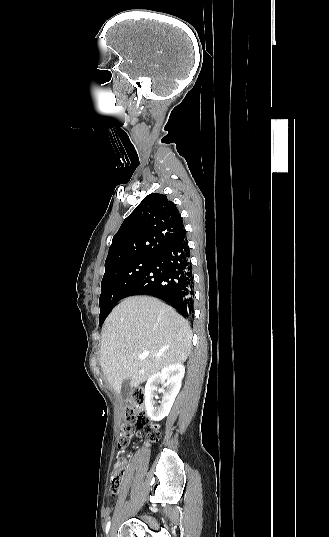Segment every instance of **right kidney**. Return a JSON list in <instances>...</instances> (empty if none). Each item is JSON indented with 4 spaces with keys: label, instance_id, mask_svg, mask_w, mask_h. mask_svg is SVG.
Segmentation results:
<instances>
[{
    "label": "right kidney",
    "instance_id": "1",
    "mask_svg": "<svg viewBox=\"0 0 329 537\" xmlns=\"http://www.w3.org/2000/svg\"><path fill=\"white\" fill-rule=\"evenodd\" d=\"M185 368L183 364L177 363L163 368L160 372L151 375L145 385V408L147 415L153 421H160L166 417L175 401L181 388V381L184 377ZM163 384L164 388L162 401L159 407H154V394L157 386Z\"/></svg>",
    "mask_w": 329,
    "mask_h": 537
}]
</instances>
